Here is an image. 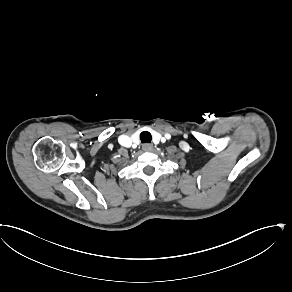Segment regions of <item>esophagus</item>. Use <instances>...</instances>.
Segmentation results:
<instances>
[{"label": "esophagus", "mask_w": 292, "mask_h": 292, "mask_svg": "<svg viewBox=\"0 0 292 292\" xmlns=\"http://www.w3.org/2000/svg\"><path fill=\"white\" fill-rule=\"evenodd\" d=\"M142 149L146 152L152 151L153 150V145L150 143H145L142 145Z\"/></svg>", "instance_id": "esophagus-1"}]
</instances>
